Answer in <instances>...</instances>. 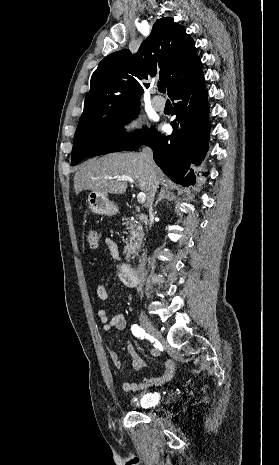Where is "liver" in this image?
<instances>
[{"label": "liver", "instance_id": "6515ba94", "mask_svg": "<svg viewBox=\"0 0 279 465\" xmlns=\"http://www.w3.org/2000/svg\"><path fill=\"white\" fill-rule=\"evenodd\" d=\"M118 176H129L137 181L140 190L146 194L148 207L151 179L141 153H111L87 161L74 176L75 193L91 190L106 195L122 194L126 192L128 184L127 181H118ZM156 176L158 185H165L164 173L157 166Z\"/></svg>", "mask_w": 279, "mask_h": 465}]
</instances>
